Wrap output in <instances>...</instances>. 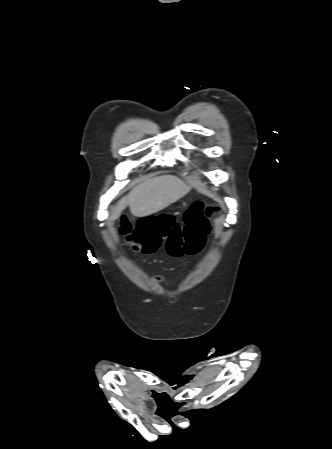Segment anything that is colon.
Returning a JSON list of instances; mask_svg holds the SVG:
<instances>
[{
  "instance_id": "obj_1",
  "label": "colon",
  "mask_w": 332,
  "mask_h": 449,
  "mask_svg": "<svg viewBox=\"0 0 332 449\" xmlns=\"http://www.w3.org/2000/svg\"><path fill=\"white\" fill-rule=\"evenodd\" d=\"M215 208L197 201L185 213L184 225L175 223L170 215L140 219L133 227L122 221L118 227L120 236L132 248L141 253H155L164 247L171 257L196 254L209 231L207 216Z\"/></svg>"
}]
</instances>
